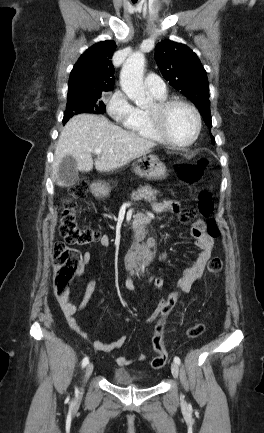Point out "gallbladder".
I'll return each mask as SVG.
<instances>
[{
    "instance_id": "obj_1",
    "label": "gallbladder",
    "mask_w": 264,
    "mask_h": 433,
    "mask_svg": "<svg viewBox=\"0 0 264 433\" xmlns=\"http://www.w3.org/2000/svg\"><path fill=\"white\" fill-rule=\"evenodd\" d=\"M57 177L64 186L69 187L74 185L79 179L76 160L68 155L65 156L58 167Z\"/></svg>"
}]
</instances>
